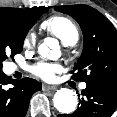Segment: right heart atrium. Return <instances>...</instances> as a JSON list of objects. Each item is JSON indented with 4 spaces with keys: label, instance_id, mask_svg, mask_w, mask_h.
I'll list each match as a JSON object with an SVG mask.
<instances>
[{
    "label": "right heart atrium",
    "instance_id": "1",
    "mask_svg": "<svg viewBox=\"0 0 117 117\" xmlns=\"http://www.w3.org/2000/svg\"><path fill=\"white\" fill-rule=\"evenodd\" d=\"M35 41H36L35 34L33 32H29L23 40V46L25 48H32L35 45Z\"/></svg>",
    "mask_w": 117,
    "mask_h": 117
}]
</instances>
